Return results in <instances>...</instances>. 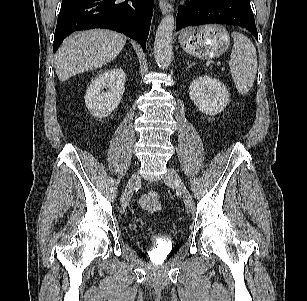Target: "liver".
<instances>
[{
    "label": "liver",
    "instance_id": "obj_1",
    "mask_svg": "<svg viewBox=\"0 0 307 301\" xmlns=\"http://www.w3.org/2000/svg\"><path fill=\"white\" fill-rule=\"evenodd\" d=\"M126 37L115 31L92 29L69 36L55 56V70L60 81L88 70L100 68L122 51Z\"/></svg>",
    "mask_w": 307,
    "mask_h": 301
}]
</instances>
